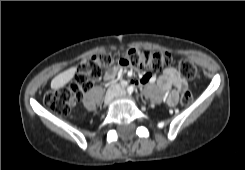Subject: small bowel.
Returning <instances> with one entry per match:
<instances>
[{
	"label": "small bowel",
	"mask_w": 245,
	"mask_h": 170,
	"mask_svg": "<svg viewBox=\"0 0 245 170\" xmlns=\"http://www.w3.org/2000/svg\"><path fill=\"white\" fill-rule=\"evenodd\" d=\"M116 73L117 69L112 68L107 72L106 77L108 79H113ZM154 81V76L149 74H143L137 81V84L145 85L153 83ZM157 84L161 90L167 91L166 100L167 104L170 107H174L175 105H177L181 93L186 91L188 88L186 80L181 77L178 70L174 67L165 69L163 73L159 76Z\"/></svg>",
	"instance_id": "small-bowel-1"
}]
</instances>
